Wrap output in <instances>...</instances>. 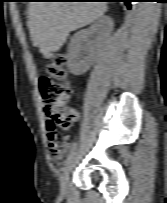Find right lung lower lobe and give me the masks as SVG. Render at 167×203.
<instances>
[{"label": "right lung lower lobe", "instance_id": "obj_1", "mask_svg": "<svg viewBox=\"0 0 167 203\" xmlns=\"http://www.w3.org/2000/svg\"><path fill=\"white\" fill-rule=\"evenodd\" d=\"M104 1H112V2H125L128 9L131 7V2L133 0H104Z\"/></svg>", "mask_w": 167, "mask_h": 203}]
</instances>
